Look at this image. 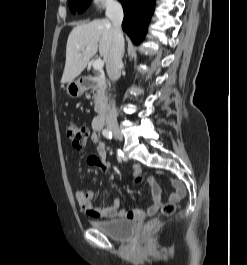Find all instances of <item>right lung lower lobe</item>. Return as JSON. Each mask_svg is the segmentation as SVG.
Masks as SVG:
<instances>
[{
    "instance_id": "1",
    "label": "right lung lower lobe",
    "mask_w": 247,
    "mask_h": 265,
    "mask_svg": "<svg viewBox=\"0 0 247 265\" xmlns=\"http://www.w3.org/2000/svg\"><path fill=\"white\" fill-rule=\"evenodd\" d=\"M124 10L123 30L135 44L145 37L155 0H119Z\"/></svg>"
}]
</instances>
